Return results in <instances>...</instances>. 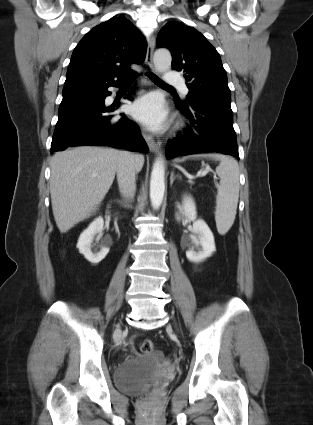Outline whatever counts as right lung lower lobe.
<instances>
[{
    "label": "right lung lower lobe",
    "instance_id": "right-lung-lower-lobe-1",
    "mask_svg": "<svg viewBox=\"0 0 313 425\" xmlns=\"http://www.w3.org/2000/svg\"><path fill=\"white\" fill-rule=\"evenodd\" d=\"M121 82L64 85L50 152L63 151L69 146H111L147 152L148 146L138 126L125 115L113 119L114 108L104 104L111 94L108 87L120 86Z\"/></svg>",
    "mask_w": 313,
    "mask_h": 425
}]
</instances>
